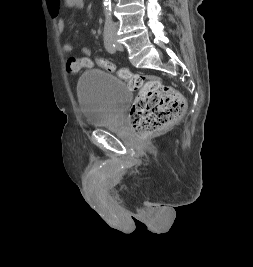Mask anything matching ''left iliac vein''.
<instances>
[{
	"label": "left iliac vein",
	"instance_id": "left-iliac-vein-1",
	"mask_svg": "<svg viewBox=\"0 0 253 267\" xmlns=\"http://www.w3.org/2000/svg\"><path fill=\"white\" fill-rule=\"evenodd\" d=\"M113 40L116 44V47L119 51L123 50V46L117 41V38L116 37H113Z\"/></svg>",
	"mask_w": 253,
	"mask_h": 267
}]
</instances>
